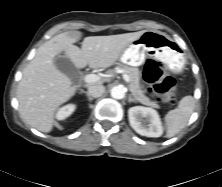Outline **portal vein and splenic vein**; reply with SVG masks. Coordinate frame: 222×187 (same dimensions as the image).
Here are the masks:
<instances>
[{
	"label": "portal vein and splenic vein",
	"instance_id": "1",
	"mask_svg": "<svg viewBox=\"0 0 222 187\" xmlns=\"http://www.w3.org/2000/svg\"><path fill=\"white\" fill-rule=\"evenodd\" d=\"M123 79L129 83L130 82V77L127 74H123ZM100 80V76L96 74H88L84 77V81L86 83H94L98 82Z\"/></svg>",
	"mask_w": 222,
	"mask_h": 187
}]
</instances>
